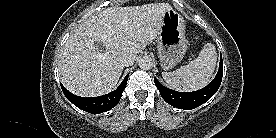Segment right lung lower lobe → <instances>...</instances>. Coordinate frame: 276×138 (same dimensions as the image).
I'll list each match as a JSON object with an SVG mask.
<instances>
[{"label": "right lung lower lobe", "mask_w": 276, "mask_h": 138, "mask_svg": "<svg viewBox=\"0 0 276 138\" xmlns=\"http://www.w3.org/2000/svg\"><path fill=\"white\" fill-rule=\"evenodd\" d=\"M128 75L116 90L99 97L85 98L72 94L62 84L61 88L66 98L78 108L93 114L106 112L115 107L121 99L122 93L126 87Z\"/></svg>", "instance_id": "1"}]
</instances>
